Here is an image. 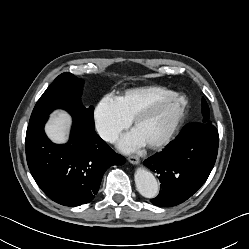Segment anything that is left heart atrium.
Here are the masks:
<instances>
[{"label":"left heart atrium","instance_id":"1","mask_svg":"<svg viewBox=\"0 0 249 249\" xmlns=\"http://www.w3.org/2000/svg\"><path fill=\"white\" fill-rule=\"evenodd\" d=\"M147 145V142L133 129L131 132L124 135L118 142V147L124 152H131L141 149Z\"/></svg>","mask_w":249,"mask_h":249}]
</instances>
